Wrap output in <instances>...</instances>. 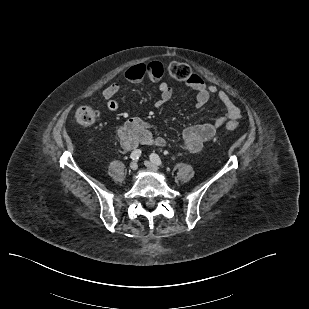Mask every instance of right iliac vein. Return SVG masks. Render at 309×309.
I'll return each instance as SVG.
<instances>
[{
    "instance_id": "right-iliac-vein-1",
    "label": "right iliac vein",
    "mask_w": 309,
    "mask_h": 309,
    "mask_svg": "<svg viewBox=\"0 0 309 309\" xmlns=\"http://www.w3.org/2000/svg\"><path fill=\"white\" fill-rule=\"evenodd\" d=\"M130 168H131V170H137V168H138L137 162L136 161L131 162Z\"/></svg>"
}]
</instances>
